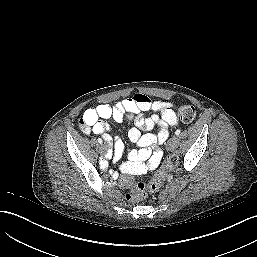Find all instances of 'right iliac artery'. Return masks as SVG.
I'll return each mask as SVG.
<instances>
[{"label":"right iliac artery","mask_w":257,"mask_h":257,"mask_svg":"<svg viewBox=\"0 0 257 257\" xmlns=\"http://www.w3.org/2000/svg\"><path fill=\"white\" fill-rule=\"evenodd\" d=\"M98 142L100 144H102V139L98 138ZM107 156H108V154H107ZM100 164L102 165V167H105L106 166V161H102Z\"/></svg>","instance_id":"obj_1"}]
</instances>
